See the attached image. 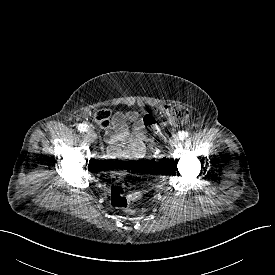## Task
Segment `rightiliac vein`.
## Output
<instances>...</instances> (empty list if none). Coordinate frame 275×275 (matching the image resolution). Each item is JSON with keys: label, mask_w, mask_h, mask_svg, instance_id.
<instances>
[{"label": "right iliac vein", "mask_w": 275, "mask_h": 275, "mask_svg": "<svg viewBox=\"0 0 275 275\" xmlns=\"http://www.w3.org/2000/svg\"><path fill=\"white\" fill-rule=\"evenodd\" d=\"M88 136L92 140V142H95L96 139H97V136H96V134H95V132L93 130H89Z\"/></svg>", "instance_id": "obj_1"}]
</instances>
